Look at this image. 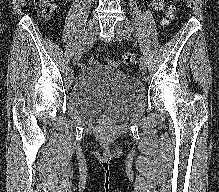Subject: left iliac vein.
I'll list each match as a JSON object with an SVG mask.
<instances>
[{"mask_svg": "<svg viewBox=\"0 0 219 192\" xmlns=\"http://www.w3.org/2000/svg\"><path fill=\"white\" fill-rule=\"evenodd\" d=\"M115 31L119 39L125 38V33L128 31L122 22H118L115 26ZM139 69L142 75L147 73V65L145 60H140Z\"/></svg>", "mask_w": 219, "mask_h": 192, "instance_id": "4c4485c4", "label": "left iliac vein"}]
</instances>
